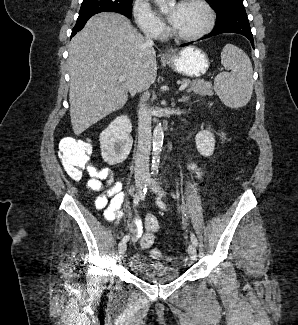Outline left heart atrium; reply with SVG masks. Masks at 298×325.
<instances>
[{"label": "left heart atrium", "instance_id": "obj_1", "mask_svg": "<svg viewBox=\"0 0 298 325\" xmlns=\"http://www.w3.org/2000/svg\"><path fill=\"white\" fill-rule=\"evenodd\" d=\"M174 13H175V11H174L173 8L167 9V11H166L165 14H166V17H167V19L169 20V22L172 21V19H173V17H174Z\"/></svg>", "mask_w": 298, "mask_h": 325}]
</instances>
